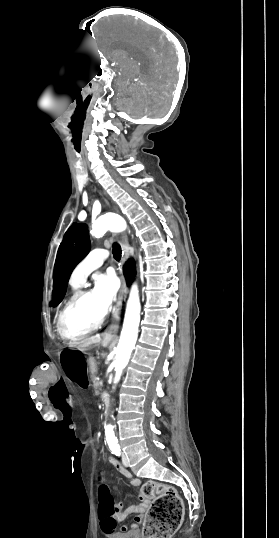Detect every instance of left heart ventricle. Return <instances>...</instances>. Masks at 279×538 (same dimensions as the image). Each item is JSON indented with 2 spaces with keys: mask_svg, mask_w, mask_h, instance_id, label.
<instances>
[{
  "mask_svg": "<svg viewBox=\"0 0 279 538\" xmlns=\"http://www.w3.org/2000/svg\"><path fill=\"white\" fill-rule=\"evenodd\" d=\"M103 314V307L98 297L92 292L68 312L65 328L70 334L82 333L93 327Z\"/></svg>",
  "mask_w": 279,
  "mask_h": 538,
  "instance_id": "b2bd125f",
  "label": "left heart ventricle"
}]
</instances>
